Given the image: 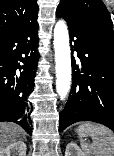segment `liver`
<instances>
[{"label":"liver","instance_id":"6515ba94","mask_svg":"<svg viewBox=\"0 0 114 156\" xmlns=\"http://www.w3.org/2000/svg\"><path fill=\"white\" fill-rule=\"evenodd\" d=\"M21 131V128L14 123H0V152L11 143L16 142L20 137Z\"/></svg>","mask_w":114,"mask_h":156}]
</instances>
